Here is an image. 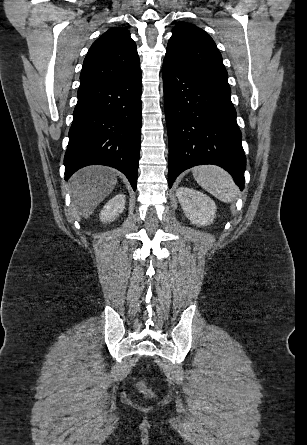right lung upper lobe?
<instances>
[{
    "mask_svg": "<svg viewBox=\"0 0 307 445\" xmlns=\"http://www.w3.org/2000/svg\"><path fill=\"white\" fill-rule=\"evenodd\" d=\"M140 67L135 42L127 29L111 28L98 38L85 57L80 87L121 78Z\"/></svg>",
    "mask_w": 307,
    "mask_h": 445,
    "instance_id": "obj_1",
    "label": "right lung upper lobe"
}]
</instances>
